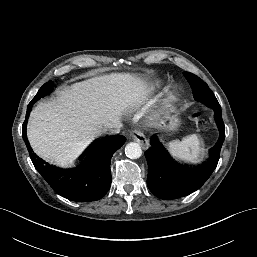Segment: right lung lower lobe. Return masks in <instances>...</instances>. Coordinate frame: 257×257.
<instances>
[{"label": "right lung lower lobe", "instance_id": "98d812e1", "mask_svg": "<svg viewBox=\"0 0 257 257\" xmlns=\"http://www.w3.org/2000/svg\"><path fill=\"white\" fill-rule=\"evenodd\" d=\"M32 103L28 105L29 114ZM26 122L23 123V139L26 140ZM122 135L107 136L88 147L73 167L61 168L46 163L29 151L36 170L60 196L77 202L96 201L110 189V161L113 154L125 143Z\"/></svg>", "mask_w": 257, "mask_h": 257}]
</instances>
